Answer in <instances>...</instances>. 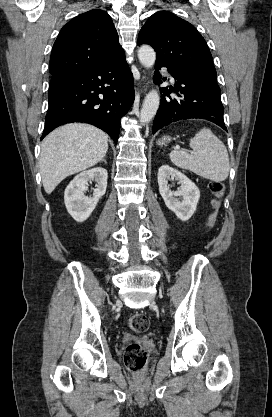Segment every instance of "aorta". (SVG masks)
Returning a JSON list of instances; mask_svg holds the SVG:
<instances>
[{"label":"aorta","mask_w":272,"mask_h":417,"mask_svg":"<svg viewBox=\"0 0 272 417\" xmlns=\"http://www.w3.org/2000/svg\"><path fill=\"white\" fill-rule=\"evenodd\" d=\"M138 58L142 65L151 68L156 60V53L149 45H143L138 50ZM160 103V97L156 90L150 91L143 102L140 112V122L148 123L155 116Z\"/></svg>","instance_id":"obj_1"}]
</instances>
